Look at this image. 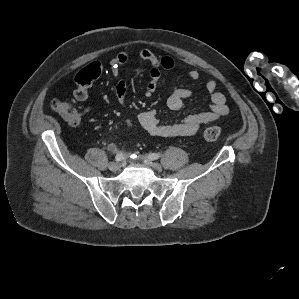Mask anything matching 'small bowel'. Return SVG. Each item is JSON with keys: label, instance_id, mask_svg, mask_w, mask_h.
I'll use <instances>...</instances> for the list:
<instances>
[{"label": "small bowel", "instance_id": "obj_1", "mask_svg": "<svg viewBox=\"0 0 299 299\" xmlns=\"http://www.w3.org/2000/svg\"><path fill=\"white\" fill-rule=\"evenodd\" d=\"M138 57L150 65L148 82L145 95L147 97L154 94L157 89L161 70H170L175 66L174 59L170 56H158L149 49H141L136 52ZM132 52L122 51L111 60V72L113 76L119 77L121 67L130 59ZM101 74V65L93 62L84 67L76 76L77 88L74 91V98L79 102L86 101L88 89L91 83ZM189 77L197 80L200 73L196 69L189 71ZM206 90L211 94V105L208 110L191 114L181 122L163 123L159 120L158 112L154 109L145 110L138 114V122L150 135L157 137H185L192 136L198 132L203 124L210 123L229 113L226 97L220 92H216V82L210 80L206 83ZM118 102L124 106L126 103L127 86L124 80H119L115 87ZM193 94L191 89L174 86L167 98V105L172 110H180L184 106L186 99ZM110 151H115L116 146L112 143L108 145Z\"/></svg>", "mask_w": 299, "mask_h": 299}]
</instances>
